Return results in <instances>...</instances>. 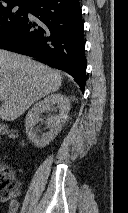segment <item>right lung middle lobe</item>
Returning a JSON list of instances; mask_svg holds the SVG:
<instances>
[{
	"instance_id": "1",
	"label": "right lung middle lobe",
	"mask_w": 128,
	"mask_h": 213,
	"mask_svg": "<svg viewBox=\"0 0 128 213\" xmlns=\"http://www.w3.org/2000/svg\"><path fill=\"white\" fill-rule=\"evenodd\" d=\"M19 5V8L15 7ZM29 6L9 4L0 6V41L11 34L27 19Z\"/></svg>"
}]
</instances>
